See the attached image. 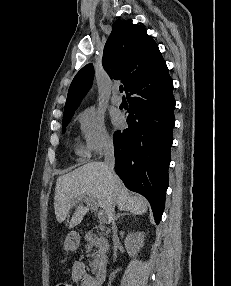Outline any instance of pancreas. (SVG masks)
Returning a JSON list of instances; mask_svg holds the SVG:
<instances>
[{"instance_id": "obj_1", "label": "pancreas", "mask_w": 231, "mask_h": 286, "mask_svg": "<svg viewBox=\"0 0 231 286\" xmlns=\"http://www.w3.org/2000/svg\"><path fill=\"white\" fill-rule=\"evenodd\" d=\"M86 250L90 252L93 247L97 250L94 251L92 257L94 260L89 263V266L93 270H97L101 266L106 263V251L108 250V241L104 237V233L91 234L89 238H87Z\"/></svg>"}]
</instances>
